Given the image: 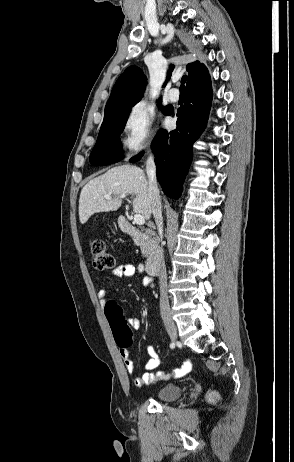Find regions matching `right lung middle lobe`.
<instances>
[{
	"instance_id": "right-lung-middle-lobe-1",
	"label": "right lung middle lobe",
	"mask_w": 294,
	"mask_h": 462,
	"mask_svg": "<svg viewBox=\"0 0 294 462\" xmlns=\"http://www.w3.org/2000/svg\"><path fill=\"white\" fill-rule=\"evenodd\" d=\"M163 110L167 114L166 107ZM129 114L130 109L123 113L104 118L96 145L90 155L91 164L97 166L107 165L122 159V156L119 154V151L122 150L119 137L125 127Z\"/></svg>"
}]
</instances>
